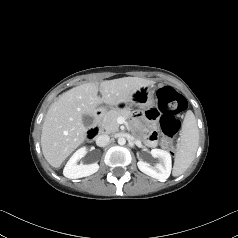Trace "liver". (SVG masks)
Returning <instances> with one entry per match:
<instances>
[{
  "label": "liver",
  "mask_w": 238,
  "mask_h": 238,
  "mask_svg": "<svg viewBox=\"0 0 238 238\" xmlns=\"http://www.w3.org/2000/svg\"><path fill=\"white\" fill-rule=\"evenodd\" d=\"M155 82L138 77H124L74 87L50 105L42 125L41 148L47 162L59 167L86 138L83 115L93 116L96 108L131 102L133 94ZM98 92L102 97L98 96Z\"/></svg>",
  "instance_id": "6515ba94"
}]
</instances>
